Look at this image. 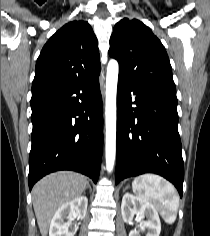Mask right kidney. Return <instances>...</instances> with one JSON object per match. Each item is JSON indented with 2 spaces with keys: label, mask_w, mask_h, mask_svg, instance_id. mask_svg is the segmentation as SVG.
<instances>
[{
  "label": "right kidney",
  "mask_w": 210,
  "mask_h": 236,
  "mask_svg": "<svg viewBox=\"0 0 210 236\" xmlns=\"http://www.w3.org/2000/svg\"><path fill=\"white\" fill-rule=\"evenodd\" d=\"M87 205V197L80 196L59 207L51 220L49 236H74L68 230L69 223H65L64 220H72L74 217L83 219L86 215Z\"/></svg>",
  "instance_id": "right-kidney-1"
}]
</instances>
